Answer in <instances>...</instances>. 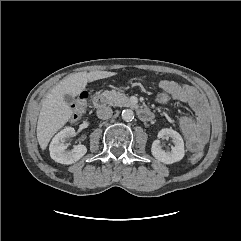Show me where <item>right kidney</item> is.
<instances>
[{"instance_id": "right-kidney-1", "label": "right kidney", "mask_w": 241, "mask_h": 241, "mask_svg": "<svg viewBox=\"0 0 241 241\" xmlns=\"http://www.w3.org/2000/svg\"><path fill=\"white\" fill-rule=\"evenodd\" d=\"M74 135L75 130L72 127H67L55 135L49 146L50 156L54 161L69 165L77 162L86 154L87 148L84 145H76L72 150L66 151L67 145L64 142Z\"/></svg>"}]
</instances>
